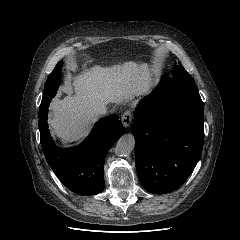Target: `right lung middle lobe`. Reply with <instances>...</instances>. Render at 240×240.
<instances>
[{
	"label": "right lung middle lobe",
	"mask_w": 240,
	"mask_h": 240,
	"mask_svg": "<svg viewBox=\"0 0 240 240\" xmlns=\"http://www.w3.org/2000/svg\"><path fill=\"white\" fill-rule=\"evenodd\" d=\"M61 68L62 62H58L55 66L54 70L50 73L43 91V97L41 101V105L39 107V113L44 112L51 102V99L57 92V88L59 86L60 78H61Z\"/></svg>",
	"instance_id": "obj_1"
}]
</instances>
